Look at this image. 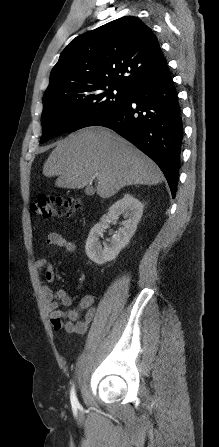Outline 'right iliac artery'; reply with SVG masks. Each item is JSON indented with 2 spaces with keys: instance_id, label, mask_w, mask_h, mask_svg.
<instances>
[{
  "instance_id": "1",
  "label": "right iliac artery",
  "mask_w": 219,
  "mask_h": 447,
  "mask_svg": "<svg viewBox=\"0 0 219 447\" xmlns=\"http://www.w3.org/2000/svg\"><path fill=\"white\" fill-rule=\"evenodd\" d=\"M70 400H71L72 407H74V408L79 407V402L76 397L74 386L71 388V391H70Z\"/></svg>"
}]
</instances>
